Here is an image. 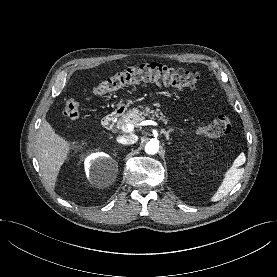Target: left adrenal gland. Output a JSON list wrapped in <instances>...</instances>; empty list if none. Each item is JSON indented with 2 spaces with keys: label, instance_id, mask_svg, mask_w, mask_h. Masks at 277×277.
Returning <instances> with one entry per match:
<instances>
[{
  "label": "left adrenal gland",
  "instance_id": "obj_1",
  "mask_svg": "<svg viewBox=\"0 0 277 277\" xmlns=\"http://www.w3.org/2000/svg\"><path fill=\"white\" fill-rule=\"evenodd\" d=\"M172 129H169L168 131L161 130V133H163L166 137V139L169 141V134L172 132Z\"/></svg>",
  "mask_w": 277,
  "mask_h": 277
}]
</instances>
